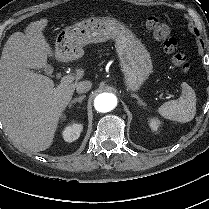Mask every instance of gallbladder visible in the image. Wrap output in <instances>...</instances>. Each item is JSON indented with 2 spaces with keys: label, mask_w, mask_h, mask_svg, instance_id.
<instances>
[{
  "label": "gallbladder",
  "mask_w": 209,
  "mask_h": 209,
  "mask_svg": "<svg viewBox=\"0 0 209 209\" xmlns=\"http://www.w3.org/2000/svg\"><path fill=\"white\" fill-rule=\"evenodd\" d=\"M34 70H39V69H34ZM43 71H44L47 75H51L53 69H52V67H50V66H45V67L43 68Z\"/></svg>",
  "instance_id": "gallbladder-1"
}]
</instances>
